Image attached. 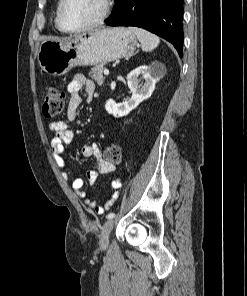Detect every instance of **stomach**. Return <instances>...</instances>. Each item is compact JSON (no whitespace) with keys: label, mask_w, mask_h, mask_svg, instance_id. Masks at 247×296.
Listing matches in <instances>:
<instances>
[{"label":"stomach","mask_w":247,"mask_h":296,"mask_svg":"<svg viewBox=\"0 0 247 296\" xmlns=\"http://www.w3.org/2000/svg\"><path fill=\"white\" fill-rule=\"evenodd\" d=\"M138 41L126 28H104L66 40H45L40 44L38 62L43 71L62 76L76 66H94L131 56Z\"/></svg>","instance_id":"stomach-1"}]
</instances>
